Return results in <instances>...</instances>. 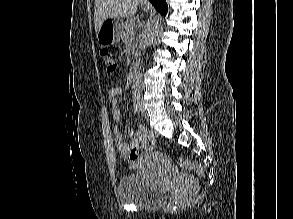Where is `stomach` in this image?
Returning a JSON list of instances; mask_svg holds the SVG:
<instances>
[{
    "instance_id": "1",
    "label": "stomach",
    "mask_w": 293,
    "mask_h": 219,
    "mask_svg": "<svg viewBox=\"0 0 293 219\" xmlns=\"http://www.w3.org/2000/svg\"><path fill=\"white\" fill-rule=\"evenodd\" d=\"M145 11H149L148 5H142ZM124 32V23L120 18H107L97 32V42L103 47H109L120 42Z\"/></svg>"
}]
</instances>
